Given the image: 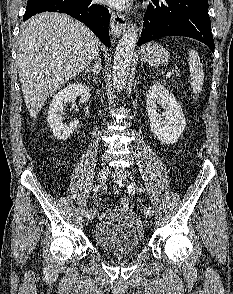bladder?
<instances>
[{
    "label": "bladder",
    "mask_w": 233,
    "mask_h": 294,
    "mask_svg": "<svg viewBox=\"0 0 233 294\" xmlns=\"http://www.w3.org/2000/svg\"><path fill=\"white\" fill-rule=\"evenodd\" d=\"M95 244L112 255L137 251L144 241V228L140 218L129 208L113 207L105 210L93 229Z\"/></svg>",
    "instance_id": "1"
}]
</instances>
